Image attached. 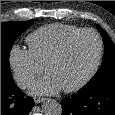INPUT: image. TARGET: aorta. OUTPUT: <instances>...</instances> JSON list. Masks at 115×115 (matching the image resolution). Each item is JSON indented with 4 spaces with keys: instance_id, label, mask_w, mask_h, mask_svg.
<instances>
[{
    "instance_id": "1",
    "label": "aorta",
    "mask_w": 115,
    "mask_h": 115,
    "mask_svg": "<svg viewBox=\"0 0 115 115\" xmlns=\"http://www.w3.org/2000/svg\"><path fill=\"white\" fill-rule=\"evenodd\" d=\"M42 111L44 115H61L62 106L56 100H47L42 105Z\"/></svg>"
}]
</instances>
